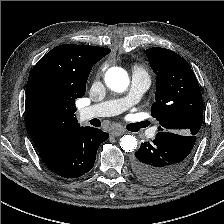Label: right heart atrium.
I'll return each mask as SVG.
<instances>
[{
  "label": "right heart atrium",
  "instance_id": "obj_1",
  "mask_svg": "<svg viewBox=\"0 0 224 224\" xmlns=\"http://www.w3.org/2000/svg\"><path fill=\"white\" fill-rule=\"evenodd\" d=\"M103 70L101 69L98 74L96 75L95 81H98L102 75Z\"/></svg>",
  "mask_w": 224,
  "mask_h": 224
}]
</instances>
